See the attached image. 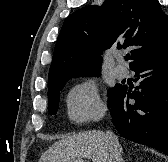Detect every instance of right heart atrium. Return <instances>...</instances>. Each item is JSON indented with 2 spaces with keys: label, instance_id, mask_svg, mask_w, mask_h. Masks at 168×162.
Returning a JSON list of instances; mask_svg holds the SVG:
<instances>
[{
  "label": "right heart atrium",
  "instance_id": "1",
  "mask_svg": "<svg viewBox=\"0 0 168 162\" xmlns=\"http://www.w3.org/2000/svg\"><path fill=\"white\" fill-rule=\"evenodd\" d=\"M106 107L101 101L96 84L87 80L71 89L67 98L68 116L75 122H90L100 119Z\"/></svg>",
  "mask_w": 168,
  "mask_h": 162
}]
</instances>
